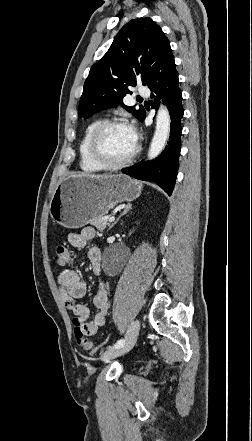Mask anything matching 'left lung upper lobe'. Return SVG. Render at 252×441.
Instances as JSON below:
<instances>
[{"mask_svg": "<svg viewBox=\"0 0 252 441\" xmlns=\"http://www.w3.org/2000/svg\"><path fill=\"white\" fill-rule=\"evenodd\" d=\"M169 44L161 28L151 18L131 20L122 27L107 53L92 66L84 83L79 103V117L93 114L120 104L142 120L145 110H135L123 104L130 86L137 80L150 83L164 46Z\"/></svg>", "mask_w": 252, "mask_h": 441, "instance_id": "left-lung-upper-lobe-1", "label": "left lung upper lobe"}]
</instances>
